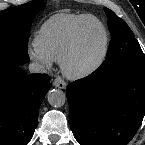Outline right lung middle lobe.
Wrapping results in <instances>:
<instances>
[{
  "mask_svg": "<svg viewBox=\"0 0 145 145\" xmlns=\"http://www.w3.org/2000/svg\"><path fill=\"white\" fill-rule=\"evenodd\" d=\"M43 1H31L0 11V68L20 66L29 61V30Z\"/></svg>",
  "mask_w": 145,
  "mask_h": 145,
  "instance_id": "right-lung-middle-lobe-1",
  "label": "right lung middle lobe"
}]
</instances>
